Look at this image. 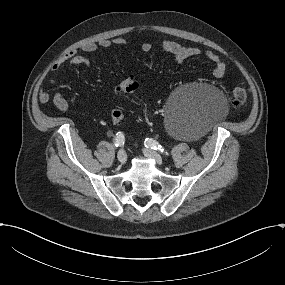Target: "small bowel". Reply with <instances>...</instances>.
<instances>
[{"label":"small bowel","mask_w":285,"mask_h":285,"mask_svg":"<svg viewBox=\"0 0 285 285\" xmlns=\"http://www.w3.org/2000/svg\"><path fill=\"white\" fill-rule=\"evenodd\" d=\"M127 41L124 38L117 37L113 39H101L97 42H90L82 46V51L85 53L96 52L99 48L108 49L112 46L124 47ZM155 43L144 42L141 46L143 53L150 52ZM160 47L167 53L171 54L177 62H183L191 57L205 56L213 63L212 75L216 78H221L226 72V63L223 59L212 50H202L198 47L182 46L181 44L172 40H163L159 43ZM83 65L90 67V61L87 57L79 53L77 50H71L63 54L51 66V71H57L63 64ZM50 83L54 84V77L50 78ZM38 98L42 103H47L52 100L53 104L60 111H67L69 109L68 101L63 97L60 92H56L51 96L48 92L40 89Z\"/></svg>","instance_id":"1"}]
</instances>
